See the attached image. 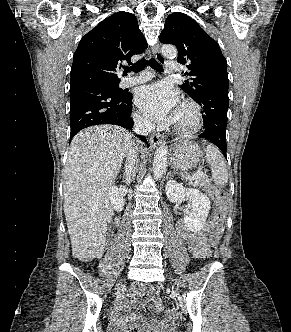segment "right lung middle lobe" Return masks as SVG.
I'll return each instance as SVG.
<instances>
[{
    "label": "right lung middle lobe",
    "mask_w": 291,
    "mask_h": 332,
    "mask_svg": "<svg viewBox=\"0 0 291 332\" xmlns=\"http://www.w3.org/2000/svg\"><path fill=\"white\" fill-rule=\"evenodd\" d=\"M94 83H104V84H107V85L111 86L117 94H123L124 93V91L119 88V81H117V82L97 81V82H94Z\"/></svg>",
    "instance_id": "dd1d6c3e"
}]
</instances>
